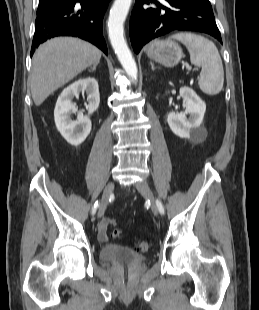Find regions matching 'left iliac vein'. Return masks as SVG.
Returning a JSON list of instances; mask_svg holds the SVG:
<instances>
[{
  "mask_svg": "<svg viewBox=\"0 0 259 310\" xmlns=\"http://www.w3.org/2000/svg\"><path fill=\"white\" fill-rule=\"evenodd\" d=\"M136 189L138 190L140 194H142L143 196H145L146 198L150 200L151 210L155 216H158L159 210L157 207L156 198L152 190L150 189V186L147 183V181H140L139 183H137Z\"/></svg>",
  "mask_w": 259,
  "mask_h": 310,
  "instance_id": "4c4485c4",
  "label": "left iliac vein"
}]
</instances>
